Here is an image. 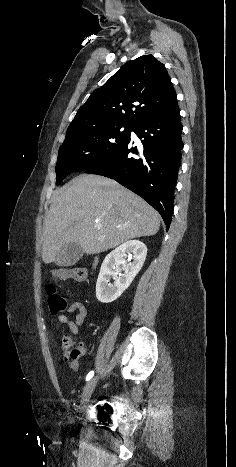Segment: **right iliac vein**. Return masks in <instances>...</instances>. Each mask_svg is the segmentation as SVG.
I'll return each mask as SVG.
<instances>
[{"label": "right iliac vein", "mask_w": 236, "mask_h": 467, "mask_svg": "<svg viewBox=\"0 0 236 467\" xmlns=\"http://www.w3.org/2000/svg\"><path fill=\"white\" fill-rule=\"evenodd\" d=\"M97 381H98V377H94L84 387V390L81 394L79 410L84 409L86 403L89 401L91 394L93 393L96 387Z\"/></svg>", "instance_id": "1"}]
</instances>
